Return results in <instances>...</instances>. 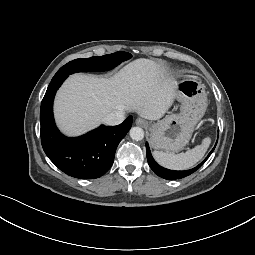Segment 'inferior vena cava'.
<instances>
[{"label": "inferior vena cava", "mask_w": 255, "mask_h": 255, "mask_svg": "<svg viewBox=\"0 0 255 255\" xmlns=\"http://www.w3.org/2000/svg\"><path fill=\"white\" fill-rule=\"evenodd\" d=\"M124 118V112H114L107 115L103 121L107 125H118L123 122Z\"/></svg>", "instance_id": "obj_1"}]
</instances>
